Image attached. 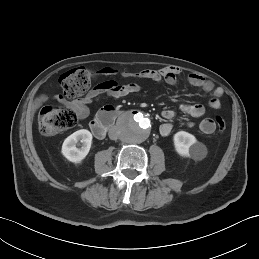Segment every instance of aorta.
<instances>
[{"instance_id": "762f6f07", "label": "aorta", "mask_w": 259, "mask_h": 259, "mask_svg": "<svg viewBox=\"0 0 259 259\" xmlns=\"http://www.w3.org/2000/svg\"><path fill=\"white\" fill-rule=\"evenodd\" d=\"M120 138L128 144L144 142L150 134V120L142 113H128L118 123Z\"/></svg>"}]
</instances>
